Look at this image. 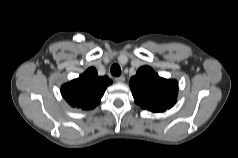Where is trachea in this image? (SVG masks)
<instances>
[{
  "instance_id": "obj_1",
  "label": "trachea",
  "mask_w": 238,
  "mask_h": 158,
  "mask_svg": "<svg viewBox=\"0 0 238 158\" xmlns=\"http://www.w3.org/2000/svg\"><path fill=\"white\" fill-rule=\"evenodd\" d=\"M110 71L113 76H120L121 74V68L118 64H113Z\"/></svg>"
}]
</instances>
